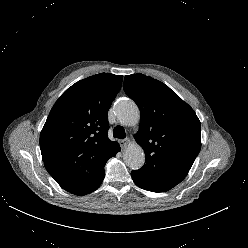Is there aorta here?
Returning <instances> with one entry per match:
<instances>
[{
  "mask_svg": "<svg viewBox=\"0 0 248 248\" xmlns=\"http://www.w3.org/2000/svg\"><path fill=\"white\" fill-rule=\"evenodd\" d=\"M119 122L125 126H134L140 120V111L135 102L129 98L119 100L115 106ZM124 162L131 169H139L145 163V154L142 147L136 143L127 147L123 155Z\"/></svg>",
  "mask_w": 248,
  "mask_h": 248,
  "instance_id": "obj_1",
  "label": "aorta"
}]
</instances>
